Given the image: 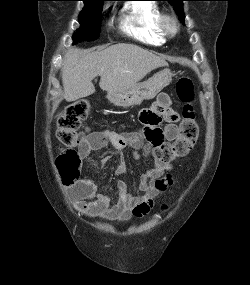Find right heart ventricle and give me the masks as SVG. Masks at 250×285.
Returning a JSON list of instances; mask_svg holds the SVG:
<instances>
[{
    "instance_id": "e07e8e85",
    "label": "right heart ventricle",
    "mask_w": 250,
    "mask_h": 285,
    "mask_svg": "<svg viewBox=\"0 0 250 285\" xmlns=\"http://www.w3.org/2000/svg\"><path fill=\"white\" fill-rule=\"evenodd\" d=\"M160 15L161 10L154 2L148 0L131 2L122 9V31L141 43L159 46L165 41L157 25Z\"/></svg>"
}]
</instances>
